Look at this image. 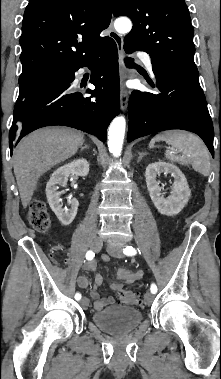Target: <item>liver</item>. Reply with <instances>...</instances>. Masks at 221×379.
Returning <instances> with one entry per match:
<instances>
[{"mask_svg":"<svg viewBox=\"0 0 221 379\" xmlns=\"http://www.w3.org/2000/svg\"><path fill=\"white\" fill-rule=\"evenodd\" d=\"M84 143V134L70 128L36 130L14 149L13 168L22 205L26 208L41 175L72 157Z\"/></svg>","mask_w":221,"mask_h":379,"instance_id":"1","label":"liver"}]
</instances>
